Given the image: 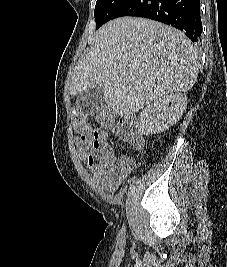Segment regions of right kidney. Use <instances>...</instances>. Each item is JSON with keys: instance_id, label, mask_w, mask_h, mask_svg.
<instances>
[{"instance_id": "obj_1", "label": "right kidney", "mask_w": 227, "mask_h": 267, "mask_svg": "<svg viewBox=\"0 0 227 267\" xmlns=\"http://www.w3.org/2000/svg\"><path fill=\"white\" fill-rule=\"evenodd\" d=\"M187 105V96L171 93L147 105L138 117L140 134L152 135L167 130L182 117Z\"/></svg>"}]
</instances>
